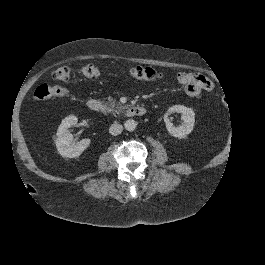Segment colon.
Wrapping results in <instances>:
<instances>
[{"label":"colon","mask_w":265,"mask_h":265,"mask_svg":"<svg viewBox=\"0 0 265 265\" xmlns=\"http://www.w3.org/2000/svg\"><path fill=\"white\" fill-rule=\"evenodd\" d=\"M80 74L85 77H96L100 74L98 67L94 65H87L80 69ZM130 75L140 80H155L159 78L160 74L150 67L136 66L129 69ZM71 71L66 66L58 67L53 72V78L58 81H67L70 78ZM67 96V91L58 86H51L46 83L38 85L33 97L35 100H47L51 98H59Z\"/></svg>","instance_id":"5ec220e1"}]
</instances>
